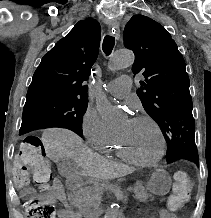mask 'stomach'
Returning a JSON list of instances; mask_svg holds the SVG:
<instances>
[{
  "label": "stomach",
  "instance_id": "1",
  "mask_svg": "<svg viewBox=\"0 0 211 218\" xmlns=\"http://www.w3.org/2000/svg\"><path fill=\"white\" fill-rule=\"evenodd\" d=\"M171 187V178L163 169L155 170L147 184V188L154 194L165 195Z\"/></svg>",
  "mask_w": 211,
  "mask_h": 218
}]
</instances>
